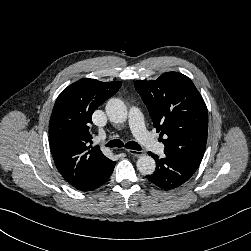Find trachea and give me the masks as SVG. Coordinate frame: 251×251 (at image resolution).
<instances>
[{
  "instance_id": "obj_1",
  "label": "trachea",
  "mask_w": 251,
  "mask_h": 251,
  "mask_svg": "<svg viewBox=\"0 0 251 251\" xmlns=\"http://www.w3.org/2000/svg\"><path fill=\"white\" fill-rule=\"evenodd\" d=\"M107 147H125L127 149H132V150H141V146L135 142V141H129L126 144H124L121 140L115 139V140H111L106 144Z\"/></svg>"
}]
</instances>
